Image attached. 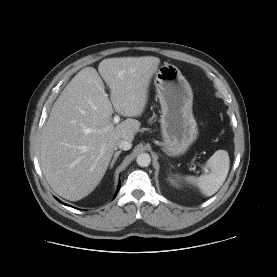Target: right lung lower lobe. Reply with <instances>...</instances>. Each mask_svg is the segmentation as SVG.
I'll return each mask as SVG.
<instances>
[{"label":"right lung lower lobe","mask_w":277,"mask_h":277,"mask_svg":"<svg viewBox=\"0 0 277 277\" xmlns=\"http://www.w3.org/2000/svg\"><path fill=\"white\" fill-rule=\"evenodd\" d=\"M58 200V199H57ZM59 202H61L60 200H58ZM63 204H65V203H63ZM65 205H67V204H65Z\"/></svg>","instance_id":"obj_1"}]
</instances>
